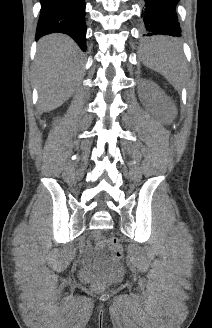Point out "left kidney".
Returning <instances> with one entry per match:
<instances>
[{
  "instance_id": "5707ae66",
  "label": "left kidney",
  "mask_w": 212,
  "mask_h": 328,
  "mask_svg": "<svg viewBox=\"0 0 212 328\" xmlns=\"http://www.w3.org/2000/svg\"><path fill=\"white\" fill-rule=\"evenodd\" d=\"M147 89H156V86L152 82L144 81L143 82V87L142 90L145 91ZM160 103L163 108L164 116H165V121L168 123L174 119L176 115V108L175 105L172 103V101L164 94V92L159 91L157 93Z\"/></svg>"
}]
</instances>
